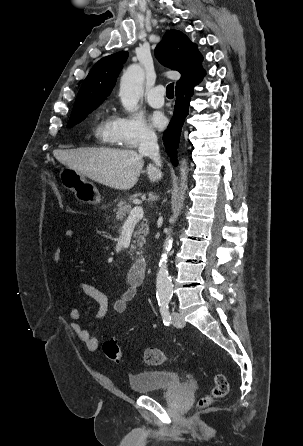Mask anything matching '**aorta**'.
Here are the masks:
<instances>
[{"instance_id": "1", "label": "aorta", "mask_w": 303, "mask_h": 446, "mask_svg": "<svg viewBox=\"0 0 303 446\" xmlns=\"http://www.w3.org/2000/svg\"><path fill=\"white\" fill-rule=\"evenodd\" d=\"M143 83H144V71L138 64H133L127 68L124 72L121 82H120V100L126 111L133 113L137 110L139 99L143 94ZM181 175V190L180 199L178 203V210L183 206L185 190L187 188V168L185 160H182L180 167ZM177 213H174L171 221L177 217ZM172 229L169 228L167 231V236L163 245V253L159 262V270L156 277V295L159 301H169L172 292L173 284L168 272V261L167 256L172 248L173 239L171 237Z\"/></svg>"}]
</instances>
